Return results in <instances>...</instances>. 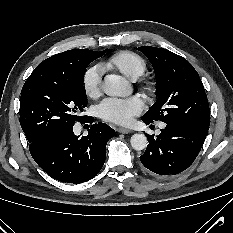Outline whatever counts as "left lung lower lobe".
Instances as JSON below:
<instances>
[{
  "label": "left lung lower lobe",
  "mask_w": 233,
  "mask_h": 233,
  "mask_svg": "<svg viewBox=\"0 0 233 233\" xmlns=\"http://www.w3.org/2000/svg\"><path fill=\"white\" fill-rule=\"evenodd\" d=\"M207 133L208 130L189 123H166L158 136L147 135L149 145L140 160L155 174H178L193 163Z\"/></svg>",
  "instance_id": "obj_1"
}]
</instances>
